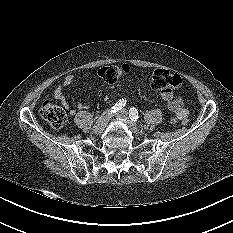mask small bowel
Listing matches in <instances>:
<instances>
[{
	"instance_id": "c3829d8e",
	"label": "small bowel",
	"mask_w": 233,
	"mask_h": 233,
	"mask_svg": "<svg viewBox=\"0 0 233 233\" xmlns=\"http://www.w3.org/2000/svg\"><path fill=\"white\" fill-rule=\"evenodd\" d=\"M74 81L73 75H67L64 77L62 83L54 90V96L61 104L66 108L71 115H74L78 110H84L89 107L86 103H79L76 107H72L68 102L64 88L72 84ZM162 98L167 102L168 109L174 114L172 120L173 123H177L187 119L188 109L184 106L182 99L179 96L173 94L172 91H161Z\"/></svg>"
}]
</instances>
